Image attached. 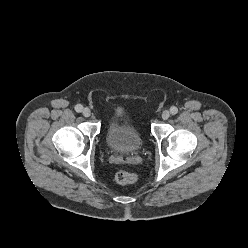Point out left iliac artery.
Wrapping results in <instances>:
<instances>
[{
  "label": "left iliac artery",
  "mask_w": 248,
  "mask_h": 248,
  "mask_svg": "<svg viewBox=\"0 0 248 248\" xmlns=\"http://www.w3.org/2000/svg\"><path fill=\"white\" fill-rule=\"evenodd\" d=\"M170 112H171L172 115H175V114L178 113V108L173 106V107L170 108Z\"/></svg>",
  "instance_id": "left-iliac-artery-1"
}]
</instances>
